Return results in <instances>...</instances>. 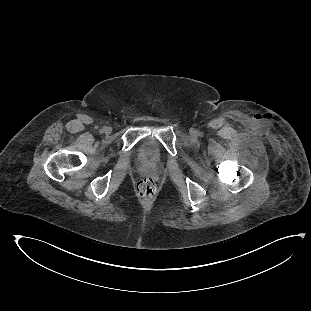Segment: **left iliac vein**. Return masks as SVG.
<instances>
[{
	"instance_id": "obj_1",
	"label": "left iliac vein",
	"mask_w": 311,
	"mask_h": 311,
	"mask_svg": "<svg viewBox=\"0 0 311 311\" xmlns=\"http://www.w3.org/2000/svg\"><path fill=\"white\" fill-rule=\"evenodd\" d=\"M192 135L195 136V132H193Z\"/></svg>"
}]
</instances>
